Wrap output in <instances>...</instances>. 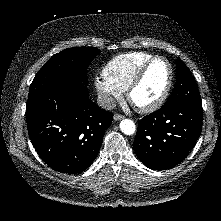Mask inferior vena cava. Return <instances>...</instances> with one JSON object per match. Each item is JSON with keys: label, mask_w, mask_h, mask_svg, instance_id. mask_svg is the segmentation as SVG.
Segmentation results:
<instances>
[{"label": "inferior vena cava", "mask_w": 221, "mask_h": 221, "mask_svg": "<svg viewBox=\"0 0 221 221\" xmlns=\"http://www.w3.org/2000/svg\"><path fill=\"white\" fill-rule=\"evenodd\" d=\"M97 103L98 106L104 110H113L116 107L115 99L107 93L99 94L97 98Z\"/></svg>", "instance_id": "602c4592"}]
</instances>
